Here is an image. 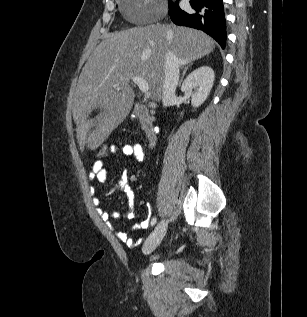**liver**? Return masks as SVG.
Wrapping results in <instances>:
<instances>
[{
	"label": "liver",
	"instance_id": "obj_1",
	"mask_svg": "<svg viewBox=\"0 0 307 317\" xmlns=\"http://www.w3.org/2000/svg\"><path fill=\"white\" fill-rule=\"evenodd\" d=\"M214 48L215 41L205 33L175 25L134 27L106 35L83 67L72 103L80 148L98 147L129 114L135 97L130 86L133 77L148 82L153 100L162 98L167 50L181 66ZM97 108L100 114L87 120Z\"/></svg>",
	"mask_w": 307,
	"mask_h": 317
}]
</instances>
